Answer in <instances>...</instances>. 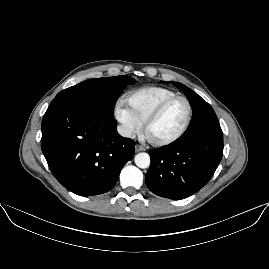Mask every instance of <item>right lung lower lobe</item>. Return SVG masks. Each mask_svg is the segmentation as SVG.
I'll use <instances>...</instances> for the list:
<instances>
[{
	"label": "right lung lower lobe",
	"instance_id": "98d812e1",
	"mask_svg": "<svg viewBox=\"0 0 269 269\" xmlns=\"http://www.w3.org/2000/svg\"><path fill=\"white\" fill-rule=\"evenodd\" d=\"M113 116L60 99L43 117L42 152L55 178L77 195L109 191L134 155V141L118 134Z\"/></svg>",
	"mask_w": 269,
	"mask_h": 269
}]
</instances>
